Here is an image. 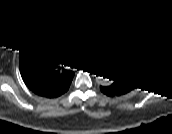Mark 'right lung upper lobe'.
<instances>
[{
  "mask_svg": "<svg viewBox=\"0 0 172 134\" xmlns=\"http://www.w3.org/2000/svg\"><path fill=\"white\" fill-rule=\"evenodd\" d=\"M66 55L63 38L47 28L27 36L20 50V72L27 87L34 93L54 98L65 93L74 72L63 67Z\"/></svg>",
  "mask_w": 172,
  "mask_h": 134,
  "instance_id": "right-lung-upper-lobe-1",
  "label": "right lung upper lobe"
}]
</instances>
